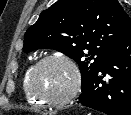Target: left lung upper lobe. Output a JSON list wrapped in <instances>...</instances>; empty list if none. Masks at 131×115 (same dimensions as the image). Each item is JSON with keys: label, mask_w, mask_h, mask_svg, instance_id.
<instances>
[{"label": "left lung upper lobe", "mask_w": 131, "mask_h": 115, "mask_svg": "<svg viewBox=\"0 0 131 115\" xmlns=\"http://www.w3.org/2000/svg\"><path fill=\"white\" fill-rule=\"evenodd\" d=\"M131 30L118 0H58L24 35V51L54 49L79 64L82 90L114 45Z\"/></svg>", "instance_id": "1"}]
</instances>
